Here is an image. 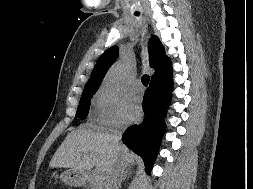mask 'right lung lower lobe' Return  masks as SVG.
Masks as SVG:
<instances>
[{
    "mask_svg": "<svg viewBox=\"0 0 253 189\" xmlns=\"http://www.w3.org/2000/svg\"><path fill=\"white\" fill-rule=\"evenodd\" d=\"M171 90L172 72L151 79L143 97L144 121L129 127L122 136L123 142L142 157L148 173L151 171L165 130L163 117L170 103Z\"/></svg>",
    "mask_w": 253,
    "mask_h": 189,
    "instance_id": "98d812e1",
    "label": "right lung lower lobe"
}]
</instances>
